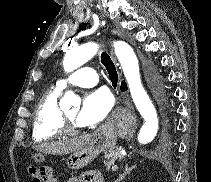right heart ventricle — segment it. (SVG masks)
<instances>
[{"mask_svg": "<svg viewBox=\"0 0 211 182\" xmlns=\"http://www.w3.org/2000/svg\"><path fill=\"white\" fill-rule=\"evenodd\" d=\"M60 93V88L52 87L38 101L32 126V138L35 142L51 141L63 135L62 110L58 104Z\"/></svg>", "mask_w": 211, "mask_h": 182, "instance_id": "right-heart-ventricle-1", "label": "right heart ventricle"}]
</instances>
